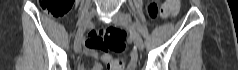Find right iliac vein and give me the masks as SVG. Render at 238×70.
Instances as JSON below:
<instances>
[{
	"mask_svg": "<svg viewBox=\"0 0 238 70\" xmlns=\"http://www.w3.org/2000/svg\"><path fill=\"white\" fill-rule=\"evenodd\" d=\"M96 12L94 10L89 11L80 21L77 36L74 42V50L79 53L81 50L82 38L85 30L90 26L93 17Z\"/></svg>",
	"mask_w": 238,
	"mask_h": 70,
	"instance_id": "right-iliac-vein-1",
	"label": "right iliac vein"
}]
</instances>
